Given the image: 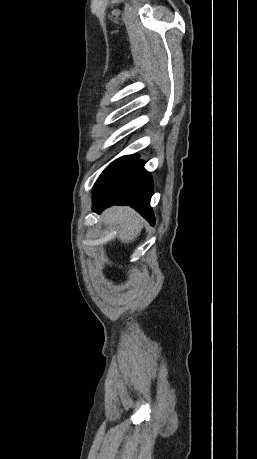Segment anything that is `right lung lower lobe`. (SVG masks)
<instances>
[{
    "instance_id": "98d812e1",
    "label": "right lung lower lobe",
    "mask_w": 257,
    "mask_h": 459,
    "mask_svg": "<svg viewBox=\"0 0 257 459\" xmlns=\"http://www.w3.org/2000/svg\"><path fill=\"white\" fill-rule=\"evenodd\" d=\"M136 157L123 156L102 172L93 188V211L101 212L115 204L129 205L154 225L150 207L153 180L144 169V161Z\"/></svg>"
}]
</instances>
